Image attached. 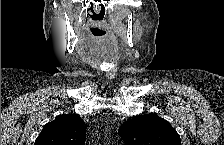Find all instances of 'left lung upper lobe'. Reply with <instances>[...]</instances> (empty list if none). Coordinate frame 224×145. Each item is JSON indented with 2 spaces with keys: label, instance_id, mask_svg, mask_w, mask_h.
<instances>
[{
  "label": "left lung upper lobe",
  "instance_id": "5c2ea615",
  "mask_svg": "<svg viewBox=\"0 0 224 145\" xmlns=\"http://www.w3.org/2000/svg\"><path fill=\"white\" fill-rule=\"evenodd\" d=\"M126 145H181L179 134L155 114L139 115L118 130Z\"/></svg>",
  "mask_w": 224,
  "mask_h": 145
}]
</instances>
